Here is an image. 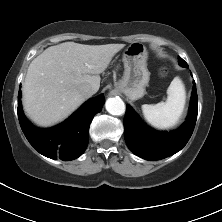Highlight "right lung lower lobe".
Masks as SVG:
<instances>
[{"label":"right lung lower lobe","mask_w":222,"mask_h":222,"mask_svg":"<svg viewBox=\"0 0 222 222\" xmlns=\"http://www.w3.org/2000/svg\"><path fill=\"white\" fill-rule=\"evenodd\" d=\"M20 97L21 92L19 91V122L27 140L36 151L51 159L60 158L63 161L73 160L83 154L88 144L92 118L104 104L103 95L84 103L65 122L45 130L34 127L25 118Z\"/></svg>","instance_id":"1"}]
</instances>
